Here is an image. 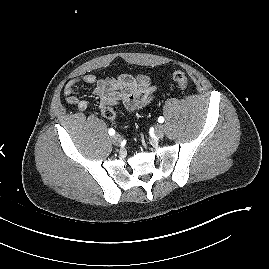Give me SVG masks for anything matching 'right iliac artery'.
Masks as SVG:
<instances>
[{"label":"right iliac artery","instance_id":"82829eb1","mask_svg":"<svg viewBox=\"0 0 269 269\" xmlns=\"http://www.w3.org/2000/svg\"><path fill=\"white\" fill-rule=\"evenodd\" d=\"M108 133H109L111 136H113V135L115 134V130L112 129V128H110L109 131H108Z\"/></svg>","mask_w":269,"mask_h":269}]
</instances>
